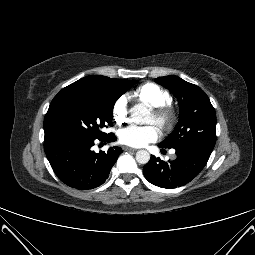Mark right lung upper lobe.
Instances as JSON below:
<instances>
[{
	"instance_id": "obj_1",
	"label": "right lung upper lobe",
	"mask_w": 255,
	"mask_h": 255,
	"mask_svg": "<svg viewBox=\"0 0 255 255\" xmlns=\"http://www.w3.org/2000/svg\"><path fill=\"white\" fill-rule=\"evenodd\" d=\"M118 79L115 78H109L106 76H100V75H90L86 76L84 78H81L80 80L70 84L69 86L63 88L52 100L49 109L46 113L45 119H44V131H45V140H48L52 137H55L51 134L49 129V120L50 117L55 110V108L58 106V104L63 101L65 98L81 92V91H92V90H102L105 88L110 87L115 82H117Z\"/></svg>"
}]
</instances>
